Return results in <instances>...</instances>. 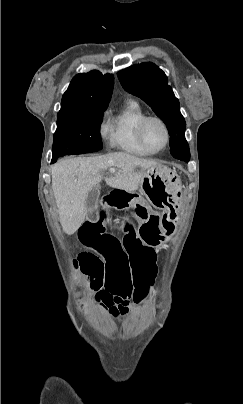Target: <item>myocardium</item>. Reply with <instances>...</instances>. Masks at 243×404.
Returning a JSON list of instances; mask_svg holds the SVG:
<instances>
[{
  "label": "myocardium",
  "instance_id": "f54148a6",
  "mask_svg": "<svg viewBox=\"0 0 243 404\" xmlns=\"http://www.w3.org/2000/svg\"><path fill=\"white\" fill-rule=\"evenodd\" d=\"M152 120L158 121L163 126V128L165 129V132H166V135H167V141H166L165 145L162 148H159V149H155V148L151 147L149 145V143L146 141L145 137H144V128H145L146 124L148 122L152 121ZM136 132H137V136H138V139H139L140 143L144 147H146L147 149H149V150H151V151H153L155 153H159V152H162L165 149H167L169 147L170 143H171V140H172L171 129H170L168 123L162 117L157 116V115H145L138 122L137 127H136Z\"/></svg>",
  "mask_w": 243,
  "mask_h": 404
}]
</instances>
